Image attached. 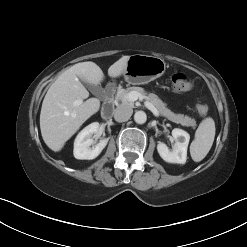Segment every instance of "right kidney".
Listing matches in <instances>:
<instances>
[{"mask_svg":"<svg viewBox=\"0 0 247 247\" xmlns=\"http://www.w3.org/2000/svg\"><path fill=\"white\" fill-rule=\"evenodd\" d=\"M99 131V123L94 122L86 126L76 137L74 141L73 154L76 159L92 160L95 159L108 143V138H103L98 144L94 145L95 141L92 135ZM92 145V147H91Z\"/></svg>","mask_w":247,"mask_h":247,"instance_id":"ca27d5eb","label":"right kidney"}]
</instances>
